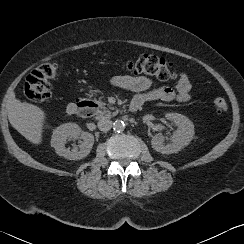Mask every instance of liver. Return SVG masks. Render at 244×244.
<instances>
[{"mask_svg":"<svg viewBox=\"0 0 244 244\" xmlns=\"http://www.w3.org/2000/svg\"><path fill=\"white\" fill-rule=\"evenodd\" d=\"M7 109L11 125L30 142L40 144L45 112L36 105L21 102L14 95L9 98Z\"/></svg>","mask_w":244,"mask_h":244,"instance_id":"obj_1","label":"liver"}]
</instances>
